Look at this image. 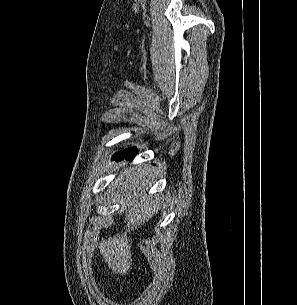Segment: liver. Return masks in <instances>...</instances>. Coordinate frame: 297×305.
Segmentation results:
<instances>
[{"label": "liver", "mask_w": 297, "mask_h": 305, "mask_svg": "<svg viewBox=\"0 0 297 305\" xmlns=\"http://www.w3.org/2000/svg\"><path fill=\"white\" fill-rule=\"evenodd\" d=\"M152 171L146 164L139 165L136 168H128L120 174L117 180V187L129 208L124 220L126 225L125 232L109 237L107 240L102 238L99 245L100 253L108 264V267L114 273L121 275L127 274L132 266V254L128 242L130 241L127 234L136 230L140 225H144L158 212L157 199L145 195L147 184L151 177Z\"/></svg>", "instance_id": "liver-1"}]
</instances>
